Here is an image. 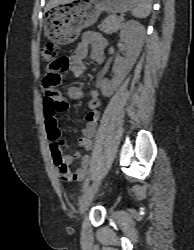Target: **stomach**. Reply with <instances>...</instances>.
Instances as JSON below:
<instances>
[{"mask_svg":"<svg viewBox=\"0 0 194 250\" xmlns=\"http://www.w3.org/2000/svg\"><path fill=\"white\" fill-rule=\"evenodd\" d=\"M140 0H86L72 6L59 4L46 12L45 35L60 45L74 42L83 28L94 24L101 12L123 13L139 4Z\"/></svg>","mask_w":194,"mask_h":250,"instance_id":"stomach-1","label":"stomach"}]
</instances>
